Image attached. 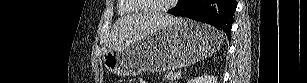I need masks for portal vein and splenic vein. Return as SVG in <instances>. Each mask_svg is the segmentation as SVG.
<instances>
[{
  "mask_svg": "<svg viewBox=\"0 0 307 83\" xmlns=\"http://www.w3.org/2000/svg\"><path fill=\"white\" fill-rule=\"evenodd\" d=\"M175 77H176V78H180V73L175 74Z\"/></svg>",
  "mask_w": 307,
  "mask_h": 83,
  "instance_id": "1",
  "label": "portal vein and splenic vein"
}]
</instances>
